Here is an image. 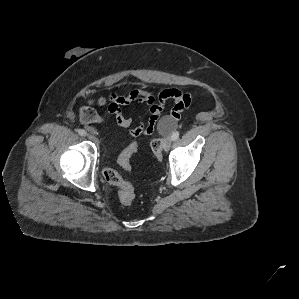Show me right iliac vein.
I'll use <instances>...</instances> for the list:
<instances>
[{"label": "right iliac vein", "mask_w": 299, "mask_h": 299, "mask_svg": "<svg viewBox=\"0 0 299 299\" xmlns=\"http://www.w3.org/2000/svg\"><path fill=\"white\" fill-rule=\"evenodd\" d=\"M87 137H88L91 141H93V142L96 141V137H95L94 135H92V134H88Z\"/></svg>", "instance_id": "1"}]
</instances>
